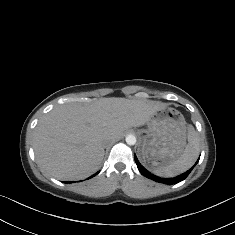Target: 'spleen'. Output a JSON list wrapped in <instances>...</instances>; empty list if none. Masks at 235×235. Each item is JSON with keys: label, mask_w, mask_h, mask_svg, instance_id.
I'll return each mask as SVG.
<instances>
[{"label": "spleen", "mask_w": 235, "mask_h": 235, "mask_svg": "<svg viewBox=\"0 0 235 235\" xmlns=\"http://www.w3.org/2000/svg\"><path fill=\"white\" fill-rule=\"evenodd\" d=\"M199 155L198 135L193 126L188 128V144L184 153L176 160L153 169V172L162 177H172L183 173L193 166Z\"/></svg>", "instance_id": "3e777b00"}]
</instances>
